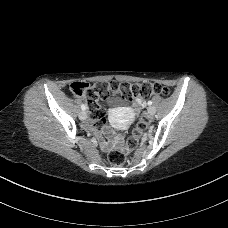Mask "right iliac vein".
Masks as SVG:
<instances>
[{
  "label": "right iliac vein",
  "mask_w": 228,
  "mask_h": 228,
  "mask_svg": "<svg viewBox=\"0 0 228 228\" xmlns=\"http://www.w3.org/2000/svg\"><path fill=\"white\" fill-rule=\"evenodd\" d=\"M86 118H87L86 112H85V111H81V112L79 113V119H80L81 121H85Z\"/></svg>",
  "instance_id": "obj_1"
}]
</instances>
